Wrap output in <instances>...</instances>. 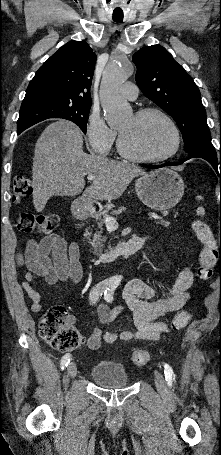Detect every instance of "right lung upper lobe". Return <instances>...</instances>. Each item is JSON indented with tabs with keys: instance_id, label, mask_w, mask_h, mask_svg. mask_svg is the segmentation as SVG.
<instances>
[{
	"instance_id": "cb5924a9",
	"label": "right lung upper lobe",
	"mask_w": 221,
	"mask_h": 455,
	"mask_svg": "<svg viewBox=\"0 0 221 455\" xmlns=\"http://www.w3.org/2000/svg\"><path fill=\"white\" fill-rule=\"evenodd\" d=\"M96 55L85 41L62 46L36 72L22 105L39 102L91 103Z\"/></svg>"
}]
</instances>
